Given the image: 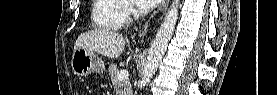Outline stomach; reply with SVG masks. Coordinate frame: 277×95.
Wrapping results in <instances>:
<instances>
[{
    "instance_id": "obj_1",
    "label": "stomach",
    "mask_w": 277,
    "mask_h": 95,
    "mask_svg": "<svg viewBox=\"0 0 277 95\" xmlns=\"http://www.w3.org/2000/svg\"><path fill=\"white\" fill-rule=\"evenodd\" d=\"M71 67L73 73L80 77L91 73H103L105 70L104 63L96 58L94 51L84 48L73 52Z\"/></svg>"
}]
</instances>
